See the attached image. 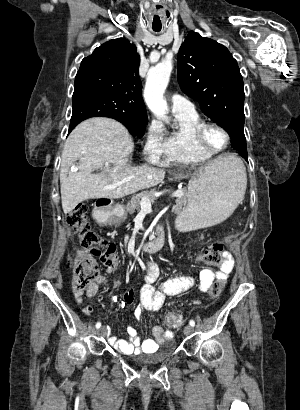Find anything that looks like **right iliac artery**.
<instances>
[{
	"label": "right iliac artery",
	"instance_id": "right-iliac-artery-1",
	"mask_svg": "<svg viewBox=\"0 0 300 410\" xmlns=\"http://www.w3.org/2000/svg\"><path fill=\"white\" fill-rule=\"evenodd\" d=\"M95 326H96V328L98 329V328L101 327V323H100V322H97Z\"/></svg>",
	"mask_w": 300,
	"mask_h": 410
}]
</instances>
